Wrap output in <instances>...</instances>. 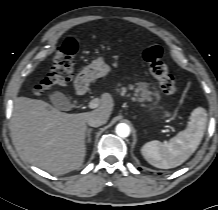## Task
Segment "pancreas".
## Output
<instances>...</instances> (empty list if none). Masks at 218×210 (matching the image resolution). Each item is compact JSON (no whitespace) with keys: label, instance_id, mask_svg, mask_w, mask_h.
Here are the masks:
<instances>
[{"label":"pancreas","instance_id":"cf45deb5","mask_svg":"<svg viewBox=\"0 0 218 210\" xmlns=\"http://www.w3.org/2000/svg\"><path fill=\"white\" fill-rule=\"evenodd\" d=\"M138 85H139V87L136 89V92L142 91V93H141V96L143 97L142 99L148 98L150 95V91L147 90L146 85L144 83H139ZM129 88L133 89V86L130 85ZM125 92H126V88H122L120 93H121V95H124Z\"/></svg>","mask_w":218,"mask_h":210}]
</instances>
